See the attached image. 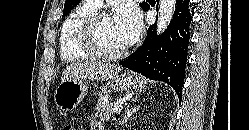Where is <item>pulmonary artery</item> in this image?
I'll use <instances>...</instances> for the list:
<instances>
[{"instance_id":"pulmonary-artery-1","label":"pulmonary artery","mask_w":249,"mask_h":130,"mask_svg":"<svg viewBox=\"0 0 249 130\" xmlns=\"http://www.w3.org/2000/svg\"><path fill=\"white\" fill-rule=\"evenodd\" d=\"M92 3H94L96 6L101 7L102 6V0H90Z\"/></svg>"}]
</instances>
